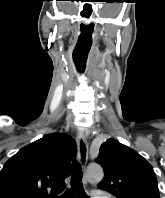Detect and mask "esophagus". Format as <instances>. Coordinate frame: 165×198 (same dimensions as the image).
<instances>
[{
  "label": "esophagus",
  "mask_w": 165,
  "mask_h": 198,
  "mask_svg": "<svg viewBox=\"0 0 165 198\" xmlns=\"http://www.w3.org/2000/svg\"><path fill=\"white\" fill-rule=\"evenodd\" d=\"M76 142L78 148L79 164L81 168L84 169L88 160V143L85 136L81 133L77 134Z\"/></svg>",
  "instance_id": "1"
}]
</instances>
